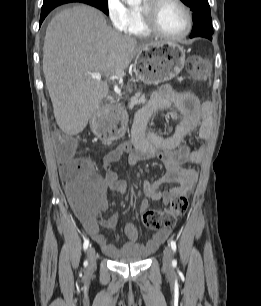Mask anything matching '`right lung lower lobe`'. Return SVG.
<instances>
[{"label":"right lung lower lobe","instance_id":"right-lung-lower-lobe-1","mask_svg":"<svg viewBox=\"0 0 261 306\" xmlns=\"http://www.w3.org/2000/svg\"><path fill=\"white\" fill-rule=\"evenodd\" d=\"M54 8H49V9H44L41 10V18H40V25L42 24L43 20L45 19V17L48 15V13Z\"/></svg>","mask_w":261,"mask_h":306}]
</instances>
